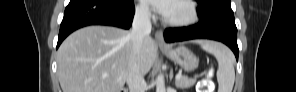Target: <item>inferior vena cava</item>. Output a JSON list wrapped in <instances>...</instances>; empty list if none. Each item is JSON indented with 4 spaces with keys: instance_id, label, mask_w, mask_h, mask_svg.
<instances>
[{
    "instance_id": "inferior-vena-cava-1",
    "label": "inferior vena cava",
    "mask_w": 296,
    "mask_h": 92,
    "mask_svg": "<svg viewBox=\"0 0 296 92\" xmlns=\"http://www.w3.org/2000/svg\"><path fill=\"white\" fill-rule=\"evenodd\" d=\"M151 13L147 5H140L136 8L130 38L132 42V55L129 60V73L127 84L130 92H145L146 83L140 71V53L143 40L151 33Z\"/></svg>"
}]
</instances>
